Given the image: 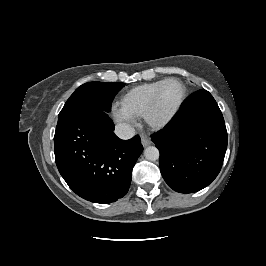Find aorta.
Segmentation results:
<instances>
[{"label": "aorta", "instance_id": "762f6f07", "mask_svg": "<svg viewBox=\"0 0 266 266\" xmlns=\"http://www.w3.org/2000/svg\"><path fill=\"white\" fill-rule=\"evenodd\" d=\"M144 156L147 160L156 161L159 159V150L155 146H149L144 150Z\"/></svg>", "mask_w": 266, "mask_h": 266}]
</instances>
